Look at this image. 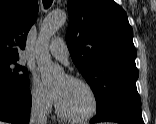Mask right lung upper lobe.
<instances>
[{
    "label": "right lung upper lobe",
    "instance_id": "obj_1",
    "mask_svg": "<svg viewBox=\"0 0 156 124\" xmlns=\"http://www.w3.org/2000/svg\"><path fill=\"white\" fill-rule=\"evenodd\" d=\"M38 14V0H0V61L19 60Z\"/></svg>",
    "mask_w": 156,
    "mask_h": 124
}]
</instances>
